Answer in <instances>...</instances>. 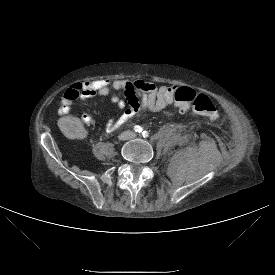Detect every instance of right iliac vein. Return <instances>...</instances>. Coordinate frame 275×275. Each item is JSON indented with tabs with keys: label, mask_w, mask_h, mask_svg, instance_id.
<instances>
[{
	"label": "right iliac vein",
	"mask_w": 275,
	"mask_h": 275,
	"mask_svg": "<svg viewBox=\"0 0 275 275\" xmlns=\"http://www.w3.org/2000/svg\"><path fill=\"white\" fill-rule=\"evenodd\" d=\"M131 138V135H130V133H128V132H125V133H123V134H121L120 136H119V139L120 140H128V139H130Z\"/></svg>",
	"instance_id": "63e3f726"
}]
</instances>
